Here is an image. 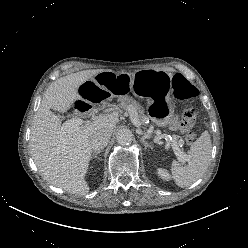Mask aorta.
<instances>
[{
	"instance_id": "aorta-1",
	"label": "aorta",
	"mask_w": 248,
	"mask_h": 248,
	"mask_svg": "<svg viewBox=\"0 0 248 248\" xmlns=\"http://www.w3.org/2000/svg\"><path fill=\"white\" fill-rule=\"evenodd\" d=\"M116 140L120 145H128L133 140V133L127 128H123L117 131Z\"/></svg>"
}]
</instances>
